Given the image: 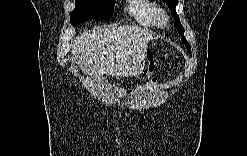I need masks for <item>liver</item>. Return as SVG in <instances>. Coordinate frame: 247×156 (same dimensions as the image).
Returning a JSON list of instances; mask_svg holds the SVG:
<instances>
[{"mask_svg":"<svg viewBox=\"0 0 247 156\" xmlns=\"http://www.w3.org/2000/svg\"><path fill=\"white\" fill-rule=\"evenodd\" d=\"M154 38L133 25L95 27L76 37L71 52L90 76L137 77L145 66L147 44Z\"/></svg>","mask_w":247,"mask_h":156,"instance_id":"6515ba94","label":"liver"}]
</instances>
